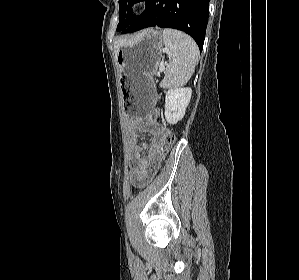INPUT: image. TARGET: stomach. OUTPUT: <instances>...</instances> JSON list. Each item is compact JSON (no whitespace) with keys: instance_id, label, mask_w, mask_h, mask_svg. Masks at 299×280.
Instances as JSON below:
<instances>
[{"instance_id":"0dacf381","label":"stomach","mask_w":299,"mask_h":280,"mask_svg":"<svg viewBox=\"0 0 299 280\" xmlns=\"http://www.w3.org/2000/svg\"><path fill=\"white\" fill-rule=\"evenodd\" d=\"M160 31L147 29L123 45L117 53L121 94L127 116L146 117L155 102V85L163 49Z\"/></svg>"}]
</instances>
